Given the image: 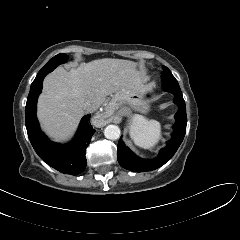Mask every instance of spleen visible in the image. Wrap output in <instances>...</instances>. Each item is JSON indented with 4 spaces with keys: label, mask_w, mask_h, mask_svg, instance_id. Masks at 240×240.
I'll return each mask as SVG.
<instances>
[{
    "label": "spleen",
    "mask_w": 240,
    "mask_h": 240,
    "mask_svg": "<svg viewBox=\"0 0 240 240\" xmlns=\"http://www.w3.org/2000/svg\"><path fill=\"white\" fill-rule=\"evenodd\" d=\"M129 133L135 145L143 149H152L162 138L160 123L141 115L133 116Z\"/></svg>",
    "instance_id": "1"
}]
</instances>
